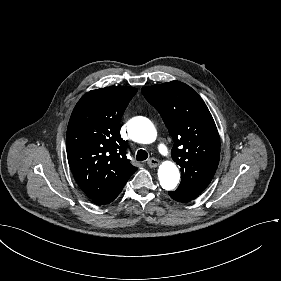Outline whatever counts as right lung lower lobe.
<instances>
[{
	"mask_svg": "<svg viewBox=\"0 0 281 281\" xmlns=\"http://www.w3.org/2000/svg\"><path fill=\"white\" fill-rule=\"evenodd\" d=\"M125 183H122L121 185H119L116 189H114L113 191H111L109 194L102 196L94 201H92L93 203L97 204V205H103V204H108L110 202H112L114 199H116V197L119 195V193L122 191Z\"/></svg>",
	"mask_w": 281,
	"mask_h": 281,
	"instance_id": "right-lung-lower-lobe-1",
	"label": "right lung lower lobe"
}]
</instances>
